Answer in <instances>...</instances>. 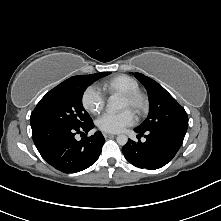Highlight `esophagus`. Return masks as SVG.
Returning <instances> with one entry per match:
<instances>
[{"instance_id":"1","label":"esophagus","mask_w":221,"mask_h":221,"mask_svg":"<svg viewBox=\"0 0 221 221\" xmlns=\"http://www.w3.org/2000/svg\"><path fill=\"white\" fill-rule=\"evenodd\" d=\"M103 136H104L105 138H110V137H113L114 134L104 132V133H103Z\"/></svg>"}]
</instances>
